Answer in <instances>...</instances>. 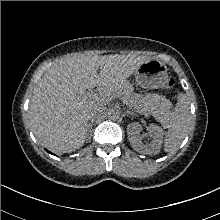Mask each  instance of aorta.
<instances>
[{
    "instance_id": "1",
    "label": "aorta",
    "mask_w": 220,
    "mask_h": 220,
    "mask_svg": "<svg viewBox=\"0 0 220 220\" xmlns=\"http://www.w3.org/2000/svg\"><path fill=\"white\" fill-rule=\"evenodd\" d=\"M119 115H120V113H119V111L117 109H110L108 111V117L110 119H113V120L117 119L119 117Z\"/></svg>"
}]
</instances>
